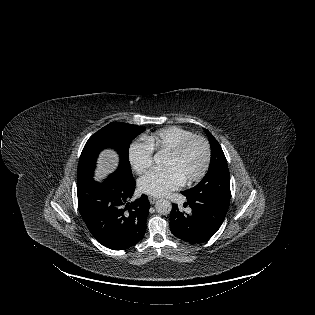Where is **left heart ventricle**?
I'll return each mask as SVG.
<instances>
[{
	"label": "left heart ventricle",
	"instance_id": "1",
	"mask_svg": "<svg viewBox=\"0 0 315 315\" xmlns=\"http://www.w3.org/2000/svg\"><path fill=\"white\" fill-rule=\"evenodd\" d=\"M204 146L201 142L191 144L187 150L178 157L168 155L165 161L167 167L175 168L181 175L188 178L196 175L204 162Z\"/></svg>",
	"mask_w": 315,
	"mask_h": 315
}]
</instances>
